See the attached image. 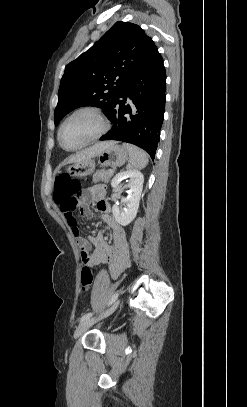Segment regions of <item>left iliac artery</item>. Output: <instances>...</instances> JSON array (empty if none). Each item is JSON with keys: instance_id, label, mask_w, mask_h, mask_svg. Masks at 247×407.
<instances>
[{"instance_id": "left-iliac-artery-1", "label": "left iliac artery", "mask_w": 247, "mask_h": 407, "mask_svg": "<svg viewBox=\"0 0 247 407\" xmlns=\"http://www.w3.org/2000/svg\"><path fill=\"white\" fill-rule=\"evenodd\" d=\"M117 297H118V293H115V294L112 296L111 300L109 301V305H111V304L117 299ZM91 316H92V313H91V312H88V313L84 314V315L81 317L80 321L82 322V321H84V320H87V319H89Z\"/></svg>"}]
</instances>
